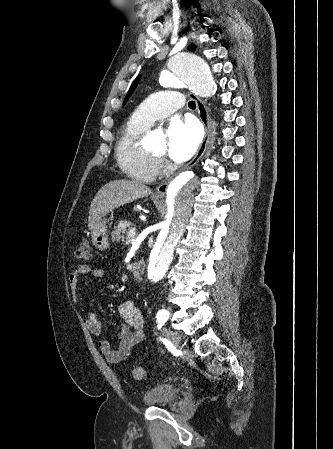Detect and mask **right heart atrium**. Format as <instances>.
<instances>
[{"label":"right heart atrium","instance_id":"obj_1","mask_svg":"<svg viewBox=\"0 0 333 449\" xmlns=\"http://www.w3.org/2000/svg\"><path fill=\"white\" fill-rule=\"evenodd\" d=\"M159 165H160V168H161L162 166H164V162L162 160H159Z\"/></svg>","mask_w":333,"mask_h":449}]
</instances>
